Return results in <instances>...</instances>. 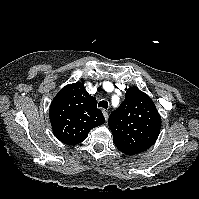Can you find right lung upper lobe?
I'll return each instance as SVG.
<instances>
[{"label": "right lung upper lobe", "mask_w": 199, "mask_h": 199, "mask_svg": "<svg viewBox=\"0 0 199 199\" xmlns=\"http://www.w3.org/2000/svg\"><path fill=\"white\" fill-rule=\"evenodd\" d=\"M54 135L65 144L84 141L91 129L102 125L105 118L97 109L96 99L81 82L66 85L53 99L49 110Z\"/></svg>", "instance_id": "1"}]
</instances>
